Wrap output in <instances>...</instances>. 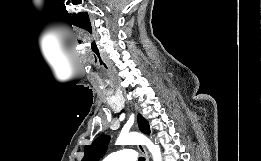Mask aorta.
I'll list each match as a JSON object with an SVG mask.
<instances>
[{"instance_id":"obj_1","label":"aorta","mask_w":261,"mask_h":161,"mask_svg":"<svg viewBox=\"0 0 261 161\" xmlns=\"http://www.w3.org/2000/svg\"><path fill=\"white\" fill-rule=\"evenodd\" d=\"M117 145H146L148 150L151 152L153 161H162L160 147L155 145L151 140H149L146 136L137 133L131 132L127 134H121L117 141Z\"/></svg>"}]
</instances>
